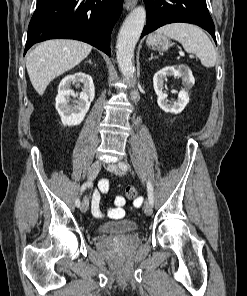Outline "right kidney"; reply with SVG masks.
I'll return each instance as SVG.
<instances>
[{"instance_id": "1", "label": "right kidney", "mask_w": 247, "mask_h": 296, "mask_svg": "<svg viewBox=\"0 0 247 296\" xmlns=\"http://www.w3.org/2000/svg\"><path fill=\"white\" fill-rule=\"evenodd\" d=\"M80 83L83 84V88L78 97V93H75L70 87L71 84L80 87ZM71 96L74 100H71ZM94 96L95 88L90 75L76 72L64 77L59 84L56 96V110L61 117L63 125H79L84 120ZM76 97H78V100L75 99ZM70 101L72 104H70Z\"/></svg>"}]
</instances>
